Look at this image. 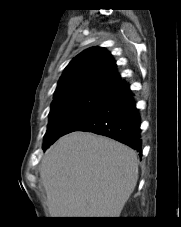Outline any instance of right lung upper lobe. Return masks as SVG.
Masks as SVG:
<instances>
[{
  "label": "right lung upper lobe",
  "instance_id": "right-lung-upper-lobe-1",
  "mask_svg": "<svg viewBox=\"0 0 181 227\" xmlns=\"http://www.w3.org/2000/svg\"><path fill=\"white\" fill-rule=\"evenodd\" d=\"M120 81L111 54L101 47H92L67 65L55 90L54 101L85 92L112 91Z\"/></svg>",
  "mask_w": 181,
  "mask_h": 227
}]
</instances>
